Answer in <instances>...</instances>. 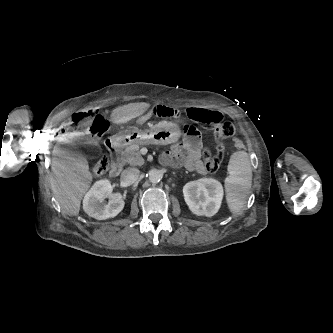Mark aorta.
<instances>
[{
  "label": "aorta",
  "instance_id": "762f6f07",
  "mask_svg": "<svg viewBox=\"0 0 333 333\" xmlns=\"http://www.w3.org/2000/svg\"><path fill=\"white\" fill-rule=\"evenodd\" d=\"M148 178L151 183H158L162 179V173L160 170L152 169L148 173Z\"/></svg>",
  "mask_w": 333,
  "mask_h": 333
}]
</instances>
